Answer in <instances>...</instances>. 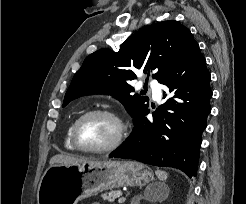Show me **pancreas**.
<instances>
[{
    "label": "pancreas",
    "instance_id": "1",
    "mask_svg": "<svg viewBox=\"0 0 246 204\" xmlns=\"http://www.w3.org/2000/svg\"><path fill=\"white\" fill-rule=\"evenodd\" d=\"M121 195H122V191L117 190V191H111L108 193H104L101 195V197L105 201L113 202L115 199L119 198Z\"/></svg>",
    "mask_w": 246,
    "mask_h": 204
}]
</instances>
